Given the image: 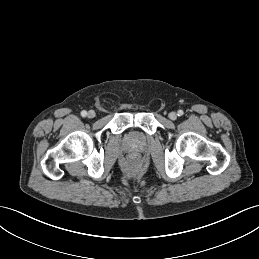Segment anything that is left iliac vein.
Returning a JSON list of instances; mask_svg holds the SVG:
<instances>
[{
  "label": "left iliac vein",
  "instance_id": "left-iliac-vein-1",
  "mask_svg": "<svg viewBox=\"0 0 259 259\" xmlns=\"http://www.w3.org/2000/svg\"><path fill=\"white\" fill-rule=\"evenodd\" d=\"M169 118H170L171 120H176V119H177V113H176V112H171V113L169 114Z\"/></svg>",
  "mask_w": 259,
  "mask_h": 259
}]
</instances>
